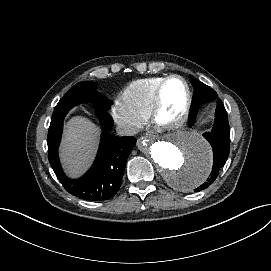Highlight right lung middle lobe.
<instances>
[{"instance_id":"right-lung-middle-lobe-1","label":"right lung middle lobe","mask_w":271,"mask_h":271,"mask_svg":"<svg viewBox=\"0 0 271 271\" xmlns=\"http://www.w3.org/2000/svg\"><path fill=\"white\" fill-rule=\"evenodd\" d=\"M85 102H92L104 109L110 108V100L96 91L95 84L93 82L84 81L74 85L58 102L55 110Z\"/></svg>"}]
</instances>
